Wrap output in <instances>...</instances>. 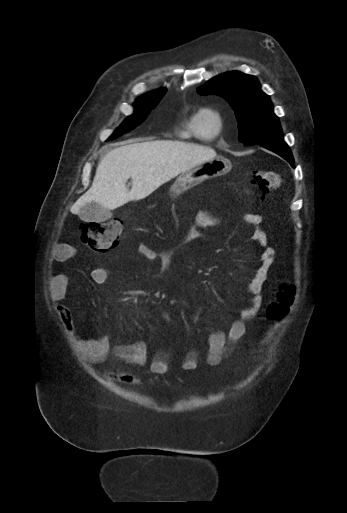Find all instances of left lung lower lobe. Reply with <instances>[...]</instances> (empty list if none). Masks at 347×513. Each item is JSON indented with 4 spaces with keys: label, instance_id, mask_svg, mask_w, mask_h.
I'll return each instance as SVG.
<instances>
[{
    "label": "left lung lower lobe",
    "instance_id": "0a47b994",
    "mask_svg": "<svg viewBox=\"0 0 347 513\" xmlns=\"http://www.w3.org/2000/svg\"><path fill=\"white\" fill-rule=\"evenodd\" d=\"M261 146L277 153L278 155L286 159L292 167H294V159L292 153L288 145L284 141L265 143L261 144Z\"/></svg>",
    "mask_w": 347,
    "mask_h": 513
}]
</instances>
